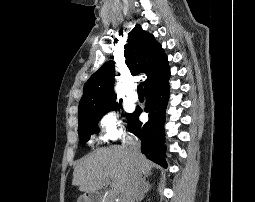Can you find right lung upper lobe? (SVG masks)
Masks as SVG:
<instances>
[{
  "instance_id": "1",
  "label": "right lung upper lobe",
  "mask_w": 255,
  "mask_h": 202,
  "mask_svg": "<svg viewBox=\"0 0 255 202\" xmlns=\"http://www.w3.org/2000/svg\"><path fill=\"white\" fill-rule=\"evenodd\" d=\"M124 46L126 65L132 75L145 73L144 91L156 87L170 77L167 56L152 34L136 25L128 34ZM115 66L113 61L105 63L84 85L83 96L79 102L78 115L115 104L114 93Z\"/></svg>"
}]
</instances>
